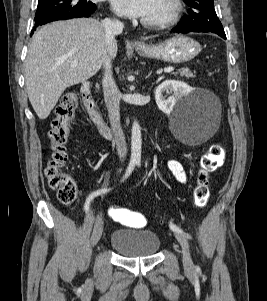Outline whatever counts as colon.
Instances as JSON below:
<instances>
[{"mask_svg":"<svg viewBox=\"0 0 267 301\" xmlns=\"http://www.w3.org/2000/svg\"><path fill=\"white\" fill-rule=\"evenodd\" d=\"M78 105V95L74 91L65 93L57 108L56 115L49 131L51 155L45 174L50 187L56 191L59 201L71 204L77 196V188L73 179L62 168L67 161L66 144L68 142L70 124ZM226 152L222 145H213L201 158L196 186L193 191L194 202L198 207H205L210 198L209 174L225 162ZM107 214L111 220L120 224L140 226L144 217L130 209L114 203L107 205Z\"/></svg>","mask_w":267,"mask_h":301,"instance_id":"obj_1","label":"colon"}]
</instances>
